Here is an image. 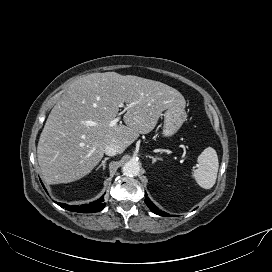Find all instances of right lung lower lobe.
Returning a JSON list of instances; mask_svg holds the SVG:
<instances>
[{
	"mask_svg": "<svg viewBox=\"0 0 272 272\" xmlns=\"http://www.w3.org/2000/svg\"><path fill=\"white\" fill-rule=\"evenodd\" d=\"M103 201L104 199L102 196L97 201H94L89 204H83L80 206H68L65 203H59V202H56V203L62 208H66L69 211L80 212V213H94V212L101 211L105 207V203H103Z\"/></svg>",
	"mask_w": 272,
	"mask_h": 272,
	"instance_id": "1",
	"label": "right lung lower lobe"
}]
</instances>
